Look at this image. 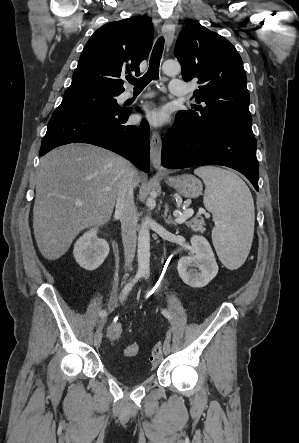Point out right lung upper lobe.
<instances>
[{
  "label": "right lung upper lobe",
  "instance_id": "obj_1",
  "mask_svg": "<svg viewBox=\"0 0 299 443\" xmlns=\"http://www.w3.org/2000/svg\"><path fill=\"white\" fill-rule=\"evenodd\" d=\"M153 43L151 19L137 16L99 28L85 45L70 87L124 91L121 74L135 71L148 57Z\"/></svg>",
  "mask_w": 299,
  "mask_h": 443
}]
</instances>
